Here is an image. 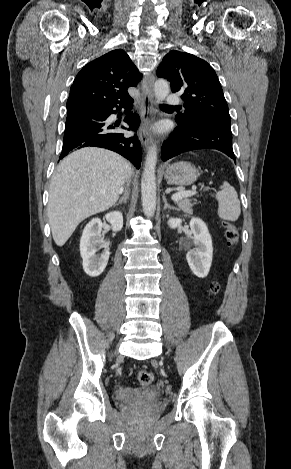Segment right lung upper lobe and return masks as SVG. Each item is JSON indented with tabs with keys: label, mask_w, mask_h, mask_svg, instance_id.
<instances>
[{
	"label": "right lung upper lobe",
	"mask_w": 291,
	"mask_h": 469,
	"mask_svg": "<svg viewBox=\"0 0 291 469\" xmlns=\"http://www.w3.org/2000/svg\"><path fill=\"white\" fill-rule=\"evenodd\" d=\"M141 78L126 52L122 49L108 52L86 64L77 74L67 100V112L97 102H130L133 99L127 89Z\"/></svg>",
	"instance_id": "obj_1"
}]
</instances>
